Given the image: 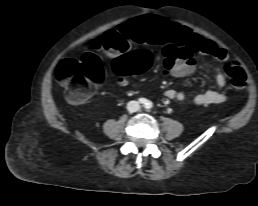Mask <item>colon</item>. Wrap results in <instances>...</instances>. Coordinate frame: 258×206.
I'll return each instance as SVG.
<instances>
[{
    "label": "colon",
    "instance_id": "1",
    "mask_svg": "<svg viewBox=\"0 0 258 206\" xmlns=\"http://www.w3.org/2000/svg\"><path fill=\"white\" fill-rule=\"evenodd\" d=\"M151 64V55L145 51H138L116 58L114 68L122 75L142 74L150 68ZM224 70L233 88L245 87L246 74L237 61H227ZM55 76L57 82L65 88L66 98L72 104L85 102L105 78L101 59L94 52H86L80 60L61 61L56 68Z\"/></svg>",
    "mask_w": 258,
    "mask_h": 206
}]
</instances>
